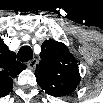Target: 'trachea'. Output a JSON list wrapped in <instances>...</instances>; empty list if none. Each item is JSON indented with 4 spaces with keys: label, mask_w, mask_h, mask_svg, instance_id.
<instances>
[{
    "label": "trachea",
    "mask_w": 103,
    "mask_h": 103,
    "mask_svg": "<svg viewBox=\"0 0 103 103\" xmlns=\"http://www.w3.org/2000/svg\"><path fill=\"white\" fill-rule=\"evenodd\" d=\"M32 57H33V52L31 47L29 46L21 47L17 54V59L22 62H27L28 60L32 59Z\"/></svg>",
    "instance_id": "trachea-1"
}]
</instances>
